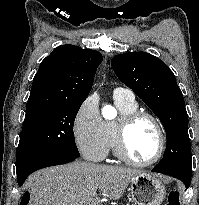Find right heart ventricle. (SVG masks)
Returning a JSON list of instances; mask_svg holds the SVG:
<instances>
[{"label":"right heart ventricle","instance_id":"1","mask_svg":"<svg viewBox=\"0 0 199 205\" xmlns=\"http://www.w3.org/2000/svg\"><path fill=\"white\" fill-rule=\"evenodd\" d=\"M115 105L118 108L121 115L134 112L137 110L138 105L134 99H127L124 97L114 96ZM116 121L107 120L104 122V130L107 136L108 151L115 152L114 146V127Z\"/></svg>","mask_w":199,"mask_h":205}]
</instances>
